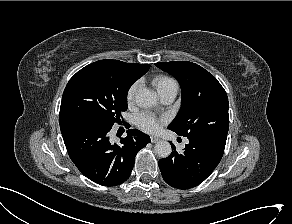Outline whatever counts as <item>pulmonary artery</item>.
<instances>
[{"label": "pulmonary artery", "instance_id": "obj_1", "mask_svg": "<svg viewBox=\"0 0 292 224\" xmlns=\"http://www.w3.org/2000/svg\"><path fill=\"white\" fill-rule=\"evenodd\" d=\"M159 93L160 99L164 104H170L174 101L178 93V86H170ZM187 142V141H185Z\"/></svg>", "mask_w": 292, "mask_h": 224}]
</instances>
